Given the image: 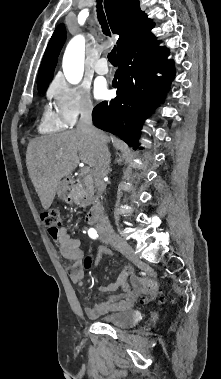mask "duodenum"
I'll list each match as a JSON object with an SVG mask.
<instances>
[{"label": "duodenum", "mask_w": 221, "mask_h": 379, "mask_svg": "<svg viewBox=\"0 0 221 379\" xmlns=\"http://www.w3.org/2000/svg\"><path fill=\"white\" fill-rule=\"evenodd\" d=\"M102 213V206L99 201L95 202L93 206L90 208L88 213L86 214V221L87 223L93 224L96 223Z\"/></svg>", "instance_id": "obj_1"}]
</instances>
